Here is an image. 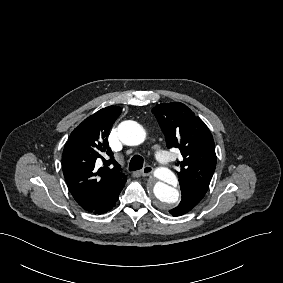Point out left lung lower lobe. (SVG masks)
<instances>
[{
	"label": "left lung lower lobe",
	"mask_w": 283,
	"mask_h": 283,
	"mask_svg": "<svg viewBox=\"0 0 283 283\" xmlns=\"http://www.w3.org/2000/svg\"><path fill=\"white\" fill-rule=\"evenodd\" d=\"M180 189L182 192L181 203L176 208L169 211L173 216H180L189 212L206 194V192L194 186H182Z\"/></svg>",
	"instance_id": "0a47b994"
}]
</instances>
